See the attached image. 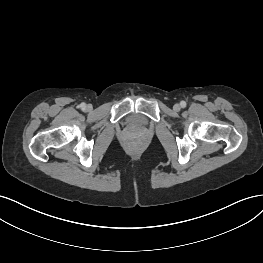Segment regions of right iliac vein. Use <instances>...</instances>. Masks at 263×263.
<instances>
[{"mask_svg": "<svg viewBox=\"0 0 263 263\" xmlns=\"http://www.w3.org/2000/svg\"><path fill=\"white\" fill-rule=\"evenodd\" d=\"M86 110L91 111L92 110V106L91 105H87L86 106Z\"/></svg>", "mask_w": 263, "mask_h": 263, "instance_id": "1", "label": "right iliac vein"}]
</instances>
